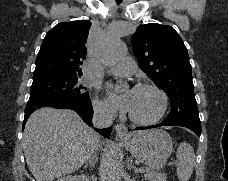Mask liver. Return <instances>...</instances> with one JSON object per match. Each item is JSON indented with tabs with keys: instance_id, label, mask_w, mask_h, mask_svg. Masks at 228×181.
<instances>
[{
	"instance_id": "liver-1",
	"label": "liver",
	"mask_w": 228,
	"mask_h": 181,
	"mask_svg": "<svg viewBox=\"0 0 228 181\" xmlns=\"http://www.w3.org/2000/svg\"><path fill=\"white\" fill-rule=\"evenodd\" d=\"M105 143L69 109H38L23 133V151L35 181H54L75 173L89 161L95 147Z\"/></svg>"
}]
</instances>
